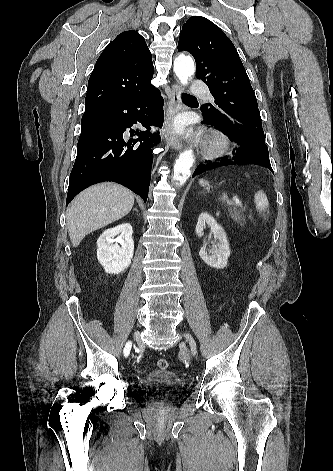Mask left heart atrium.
Wrapping results in <instances>:
<instances>
[{
  "label": "left heart atrium",
  "instance_id": "39dd6f15",
  "mask_svg": "<svg viewBox=\"0 0 333 471\" xmlns=\"http://www.w3.org/2000/svg\"><path fill=\"white\" fill-rule=\"evenodd\" d=\"M183 126H184L183 122H181V121L177 122L178 129L181 130L183 128Z\"/></svg>",
  "mask_w": 333,
  "mask_h": 471
}]
</instances>
